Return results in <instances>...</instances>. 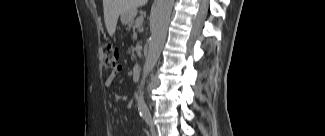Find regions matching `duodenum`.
I'll return each mask as SVG.
<instances>
[{
  "label": "duodenum",
  "instance_id": "1",
  "mask_svg": "<svg viewBox=\"0 0 325 136\" xmlns=\"http://www.w3.org/2000/svg\"><path fill=\"white\" fill-rule=\"evenodd\" d=\"M141 66L139 64L134 65L132 69V75L134 78H137L140 75Z\"/></svg>",
  "mask_w": 325,
  "mask_h": 136
}]
</instances>
